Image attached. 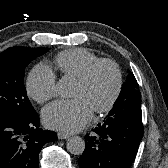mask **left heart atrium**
<instances>
[{
	"label": "left heart atrium",
	"instance_id": "39dd6f15",
	"mask_svg": "<svg viewBox=\"0 0 168 168\" xmlns=\"http://www.w3.org/2000/svg\"><path fill=\"white\" fill-rule=\"evenodd\" d=\"M93 109L82 97L59 100L43 111V122L51 129L76 132L83 129L92 119Z\"/></svg>",
	"mask_w": 168,
	"mask_h": 168
}]
</instances>
